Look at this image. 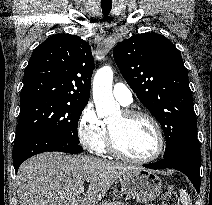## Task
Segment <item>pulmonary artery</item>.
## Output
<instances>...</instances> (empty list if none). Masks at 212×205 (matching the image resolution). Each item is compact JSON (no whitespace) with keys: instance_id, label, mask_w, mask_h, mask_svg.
Returning a JSON list of instances; mask_svg holds the SVG:
<instances>
[{"instance_id":"e3ab8cb5","label":"pulmonary artery","mask_w":212,"mask_h":205,"mask_svg":"<svg viewBox=\"0 0 212 205\" xmlns=\"http://www.w3.org/2000/svg\"><path fill=\"white\" fill-rule=\"evenodd\" d=\"M113 96L124 106L131 104L132 92L123 83H116L112 89Z\"/></svg>"}]
</instances>
